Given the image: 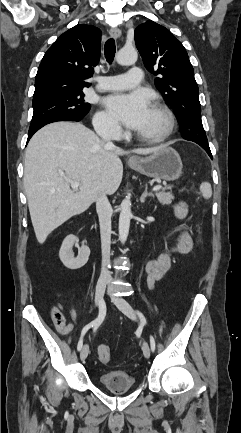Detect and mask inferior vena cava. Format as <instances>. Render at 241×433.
I'll list each match as a JSON object with an SVG mask.
<instances>
[{
	"label": "inferior vena cava",
	"instance_id": "1",
	"mask_svg": "<svg viewBox=\"0 0 241 433\" xmlns=\"http://www.w3.org/2000/svg\"><path fill=\"white\" fill-rule=\"evenodd\" d=\"M96 132L106 142L109 147L114 146L111 142L110 135L97 128ZM96 211L99 217L100 223V235H101V252H102V269L100 274V280L110 281L111 274L107 269V265L110 261V245H111V216L112 207L105 193H100L96 199Z\"/></svg>",
	"mask_w": 241,
	"mask_h": 433
}]
</instances>
